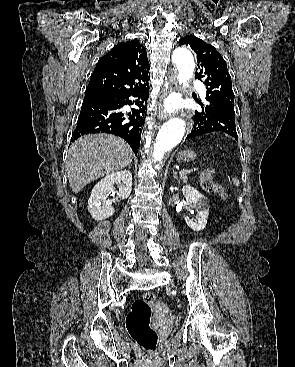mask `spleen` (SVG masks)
Returning <instances> with one entry per match:
<instances>
[{
    "mask_svg": "<svg viewBox=\"0 0 295 367\" xmlns=\"http://www.w3.org/2000/svg\"><path fill=\"white\" fill-rule=\"evenodd\" d=\"M232 181H233L234 185L239 186L240 183H239V180L237 178H233Z\"/></svg>",
    "mask_w": 295,
    "mask_h": 367,
    "instance_id": "3e777b00",
    "label": "spleen"
}]
</instances>
